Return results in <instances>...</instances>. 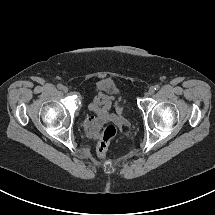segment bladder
<instances>
[{
	"label": "bladder",
	"instance_id": "obj_1",
	"mask_svg": "<svg viewBox=\"0 0 215 215\" xmlns=\"http://www.w3.org/2000/svg\"><path fill=\"white\" fill-rule=\"evenodd\" d=\"M96 90L111 95L118 91V87L113 80L104 79L96 85Z\"/></svg>",
	"mask_w": 215,
	"mask_h": 215
}]
</instances>
